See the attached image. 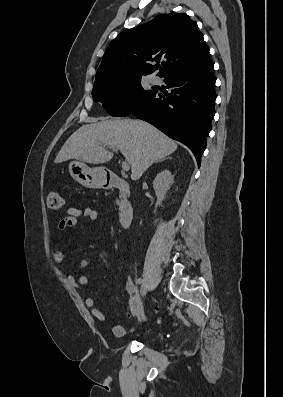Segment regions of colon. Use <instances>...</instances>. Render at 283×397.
<instances>
[{"instance_id":"5ec220e1","label":"colon","mask_w":283,"mask_h":397,"mask_svg":"<svg viewBox=\"0 0 283 397\" xmlns=\"http://www.w3.org/2000/svg\"><path fill=\"white\" fill-rule=\"evenodd\" d=\"M47 206L52 210H59L64 206V199L58 192L51 191L47 195Z\"/></svg>"}]
</instances>
